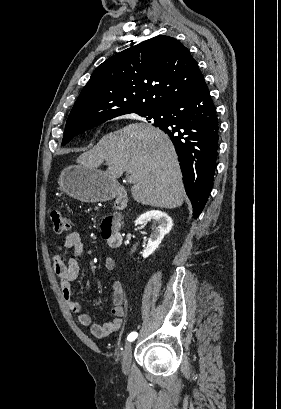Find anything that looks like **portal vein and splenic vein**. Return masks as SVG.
Returning a JSON list of instances; mask_svg holds the SVG:
<instances>
[{
    "label": "portal vein and splenic vein",
    "mask_w": 281,
    "mask_h": 409,
    "mask_svg": "<svg viewBox=\"0 0 281 409\" xmlns=\"http://www.w3.org/2000/svg\"><path fill=\"white\" fill-rule=\"evenodd\" d=\"M126 182H127L128 185H135L136 182H137V179H136L135 176H131V174H130V176H128L127 179H126Z\"/></svg>",
    "instance_id": "obj_1"
}]
</instances>
